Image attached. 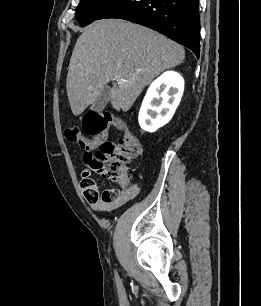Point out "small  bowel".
<instances>
[{"instance_id":"1","label":"small bowel","mask_w":261,"mask_h":306,"mask_svg":"<svg viewBox=\"0 0 261 306\" xmlns=\"http://www.w3.org/2000/svg\"><path fill=\"white\" fill-rule=\"evenodd\" d=\"M138 193H139V188L137 186H133L128 190L122 192L118 191L117 197L114 201L110 203L99 201L93 204V208L97 211L110 212L114 209L123 206L124 204L135 198L138 195Z\"/></svg>"}]
</instances>
